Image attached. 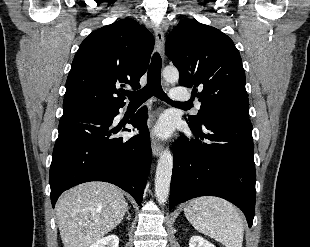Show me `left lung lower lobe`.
<instances>
[{
  "label": "left lung lower lobe",
  "instance_id": "left-lung-lower-lobe-1",
  "mask_svg": "<svg viewBox=\"0 0 310 247\" xmlns=\"http://www.w3.org/2000/svg\"><path fill=\"white\" fill-rule=\"evenodd\" d=\"M189 126L200 139L181 137L175 145L169 209L195 197L217 196L238 206L251 227L256 197L251 122L219 117L204 123V131Z\"/></svg>",
  "mask_w": 310,
  "mask_h": 247
}]
</instances>
